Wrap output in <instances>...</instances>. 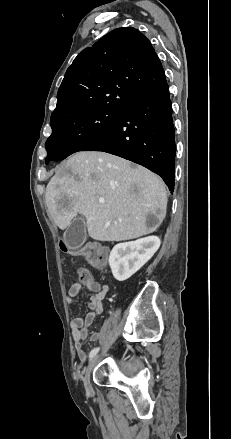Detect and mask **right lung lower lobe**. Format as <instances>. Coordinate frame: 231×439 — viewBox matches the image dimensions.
I'll use <instances>...</instances> for the list:
<instances>
[{
  "mask_svg": "<svg viewBox=\"0 0 231 439\" xmlns=\"http://www.w3.org/2000/svg\"><path fill=\"white\" fill-rule=\"evenodd\" d=\"M83 151H103L140 164L174 191L175 135L168 84L133 100L118 122Z\"/></svg>",
  "mask_w": 231,
  "mask_h": 439,
  "instance_id": "right-lung-lower-lobe-1",
  "label": "right lung lower lobe"
}]
</instances>
